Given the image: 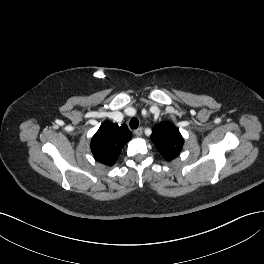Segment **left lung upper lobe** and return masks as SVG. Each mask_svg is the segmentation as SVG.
Returning a JSON list of instances; mask_svg holds the SVG:
<instances>
[{
	"label": "left lung upper lobe",
	"instance_id": "obj_1",
	"mask_svg": "<svg viewBox=\"0 0 264 264\" xmlns=\"http://www.w3.org/2000/svg\"><path fill=\"white\" fill-rule=\"evenodd\" d=\"M151 139L157 150L168 161L179 155L184 143L179 130L170 123L154 126Z\"/></svg>",
	"mask_w": 264,
	"mask_h": 264
}]
</instances>
